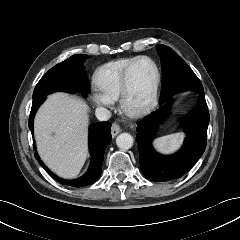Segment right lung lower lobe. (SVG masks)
Wrapping results in <instances>:
<instances>
[{
  "label": "right lung lower lobe",
  "instance_id": "98d812e1",
  "mask_svg": "<svg viewBox=\"0 0 240 240\" xmlns=\"http://www.w3.org/2000/svg\"><path fill=\"white\" fill-rule=\"evenodd\" d=\"M46 95L39 96L33 99L31 113L29 117V128L32 130L33 135V120L35 113L39 106L45 101ZM111 124L109 122H100L90 126L89 128V149L91 153V164L88 171L81 177L73 180H67L56 176L52 173L48 167H46L43 162L40 160V157L35 153L36 159L39 161V164L59 183L63 185H69L72 187H82L86 185L93 184L96 182L100 175L102 169V163L104 159V152L107 145L111 141L110 133ZM34 150L36 151L35 145Z\"/></svg>",
  "mask_w": 240,
  "mask_h": 240
}]
</instances>
